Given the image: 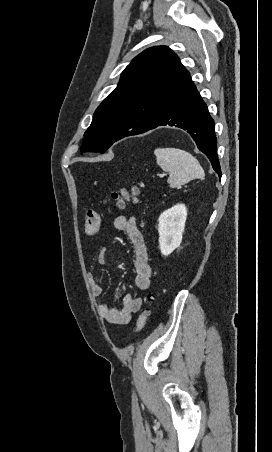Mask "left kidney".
Listing matches in <instances>:
<instances>
[{"label":"left kidney","mask_w":272,"mask_h":452,"mask_svg":"<svg viewBox=\"0 0 272 452\" xmlns=\"http://www.w3.org/2000/svg\"><path fill=\"white\" fill-rule=\"evenodd\" d=\"M186 218L187 209L184 204H177L159 216V247L162 255L168 256L180 246Z\"/></svg>","instance_id":"5707ae66"}]
</instances>
